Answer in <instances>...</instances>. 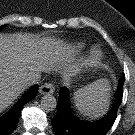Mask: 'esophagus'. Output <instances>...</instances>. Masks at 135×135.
I'll return each mask as SVG.
<instances>
[{
    "label": "esophagus",
    "instance_id": "obj_1",
    "mask_svg": "<svg viewBox=\"0 0 135 135\" xmlns=\"http://www.w3.org/2000/svg\"><path fill=\"white\" fill-rule=\"evenodd\" d=\"M55 91V87L52 83H45L39 88V93L45 94H52Z\"/></svg>",
    "mask_w": 135,
    "mask_h": 135
}]
</instances>
